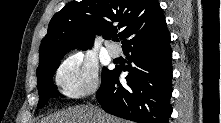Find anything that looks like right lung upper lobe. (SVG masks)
Wrapping results in <instances>:
<instances>
[{"label":"right lung upper lobe","mask_w":221,"mask_h":123,"mask_svg":"<svg viewBox=\"0 0 221 123\" xmlns=\"http://www.w3.org/2000/svg\"><path fill=\"white\" fill-rule=\"evenodd\" d=\"M169 31L157 0H81L71 2L56 13L40 45L37 69L63 58L76 47H92L94 35L105 39L119 36L122 48L156 40Z\"/></svg>","instance_id":"1"}]
</instances>
